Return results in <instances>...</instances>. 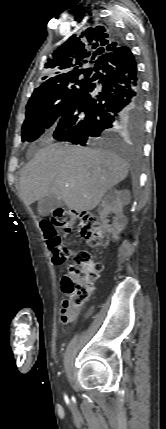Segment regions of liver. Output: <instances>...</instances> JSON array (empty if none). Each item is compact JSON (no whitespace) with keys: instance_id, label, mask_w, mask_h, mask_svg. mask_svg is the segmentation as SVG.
Segmentation results:
<instances>
[{"instance_id":"liver-1","label":"liver","mask_w":166,"mask_h":429,"mask_svg":"<svg viewBox=\"0 0 166 429\" xmlns=\"http://www.w3.org/2000/svg\"><path fill=\"white\" fill-rule=\"evenodd\" d=\"M127 175L128 164L108 150L50 144L22 169L20 197L29 206L55 195L69 209L91 211Z\"/></svg>"}]
</instances>
